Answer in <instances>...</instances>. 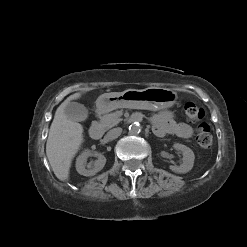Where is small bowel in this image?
Listing matches in <instances>:
<instances>
[{
  "mask_svg": "<svg viewBox=\"0 0 247 247\" xmlns=\"http://www.w3.org/2000/svg\"><path fill=\"white\" fill-rule=\"evenodd\" d=\"M152 123L153 130L159 137L176 135L181 138H190L193 134V130L189 125L178 122L169 111L154 114L152 116Z\"/></svg>",
  "mask_w": 247,
  "mask_h": 247,
  "instance_id": "obj_1",
  "label": "small bowel"
}]
</instances>
